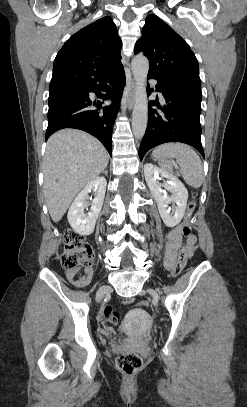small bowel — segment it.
<instances>
[{
    "label": "small bowel",
    "mask_w": 247,
    "mask_h": 407,
    "mask_svg": "<svg viewBox=\"0 0 247 407\" xmlns=\"http://www.w3.org/2000/svg\"><path fill=\"white\" fill-rule=\"evenodd\" d=\"M196 242L195 236L191 235L187 238V245L189 247L187 258L191 256L192 248ZM182 245L181 227L177 226L171 230L167 236V243L164 252V264L168 270L173 269L176 259L177 251ZM66 278L77 287H84L90 283L93 277V271L90 267L83 269H66Z\"/></svg>",
    "instance_id": "c3829d8e"
}]
</instances>
